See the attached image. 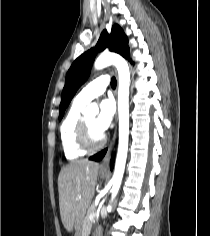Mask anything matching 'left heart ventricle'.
<instances>
[{"instance_id": "1", "label": "left heart ventricle", "mask_w": 210, "mask_h": 236, "mask_svg": "<svg viewBox=\"0 0 210 236\" xmlns=\"http://www.w3.org/2000/svg\"><path fill=\"white\" fill-rule=\"evenodd\" d=\"M86 121L92 131V135L95 139H99L101 136V133L96 130L94 122H95V116H86Z\"/></svg>"}]
</instances>
